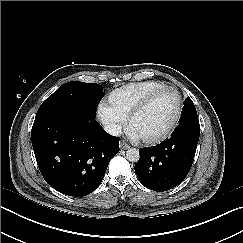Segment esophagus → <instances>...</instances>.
<instances>
[{
	"label": "esophagus",
	"instance_id": "34e87169",
	"mask_svg": "<svg viewBox=\"0 0 243 243\" xmlns=\"http://www.w3.org/2000/svg\"><path fill=\"white\" fill-rule=\"evenodd\" d=\"M120 148L123 149V150H126V149H129V148H130V145L127 144V143L124 142V141H121V142H120Z\"/></svg>",
	"mask_w": 243,
	"mask_h": 243
}]
</instances>
